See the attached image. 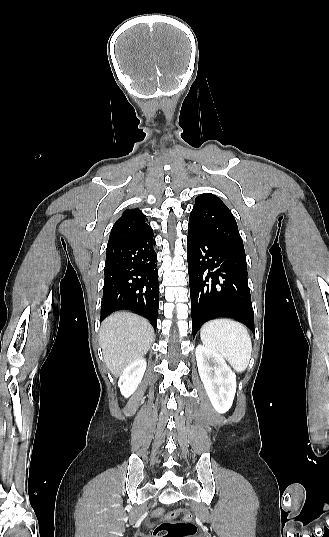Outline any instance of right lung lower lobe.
<instances>
[{"instance_id":"98d812e1","label":"right lung lower lobe","mask_w":329,"mask_h":537,"mask_svg":"<svg viewBox=\"0 0 329 537\" xmlns=\"http://www.w3.org/2000/svg\"><path fill=\"white\" fill-rule=\"evenodd\" d=\"M153 236L151 229L107 246L100 321L112 312L130 309L156 326L159 282Z\"/></svg>"}]
</instances>
